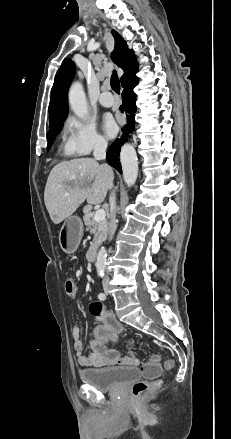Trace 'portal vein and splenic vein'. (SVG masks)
Returning a JSON list of instances; mask_svg holds the SVG:
<instances>
[{"instance_id": "18ae733b", "label": "portal vein and splenic vein", "mask_w": 231, "mask_h": 439, "mask_svg": "<svg viewBox=\"0 0 231 439\" xmlns=\"http://www.w3.org/2000/svg\"><path fill=\"white\" fill-rule=\"evenodd\" d=\"M105 210L104 209H98L96 210L95 214H94V221L96 222H100L105 220Z\"/></svg>"}]
</instances>
